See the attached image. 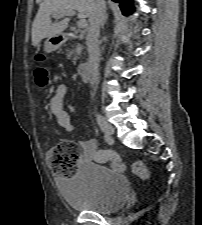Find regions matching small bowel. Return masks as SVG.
<instances>
[{
    "label": "small bowel",
    "instance_id": "obj_1",
    "mask_svg": "<svg viewBox=\"0 0 202 225\" xmlns=\"http://www.w3.org/2000/svg\"><path fill=\"white\" fill-rule=\"evenodd\" d=\"M68 91L65 84H59L57 86L55 94L49 100V109L52 115L55 117L57 124L65 129L67 132L72 133L74 126L71 121L70 114L64 108V97ZM80 147L82 153L80 155V161H91L95 163H106L105 154L110 151H103L97 149V142L93 138H87L80 141Z\"/></svg>",
    "mask_w": 202,
    "mask_h": 225
}]
</instances>
